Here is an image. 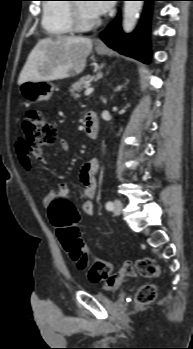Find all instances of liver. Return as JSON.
I'll use <instances>...</instances> for the list:
<instances>
[{
	"instance_id": "obj_1",
	"label": "liver",
	"mask_w": 193,
	"mask_h": 349,
	"mask_svg": "<svg viewBox=\"0 0 193 349\" xmlns=\"http://www.w3.org/2000/svg\"><path fill=\"white\" fill-rule=\"evenodd\" d=\"M92 46V40L84 37L57 36L40 39L27 58L18 84L25 81L64 79L81 73Z\"/></svg>"
}]
</instances>
